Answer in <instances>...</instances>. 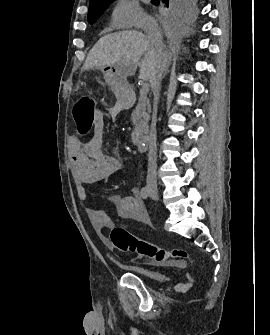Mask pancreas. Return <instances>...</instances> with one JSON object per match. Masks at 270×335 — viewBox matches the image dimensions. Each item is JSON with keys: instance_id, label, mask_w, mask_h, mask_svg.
Returning <instances> with one entry per match:
<instances>
[{"instance_id": "1", "label": "pancreas", "mask_w": 270, "mask_h": 335, "mask_svg": "<svg viewBox=\"0 0 270 335\" xmlns=\"http://www.w3.org/2000/svg\"><path fill=\"white\" fill-rule=\"evenodd\" d=\"M131 120L134 126V130L131 136L133 142H135V140H138L139 136H142V134H147L150 116L149 114H147V112H145V110H140V108H136L131 116Z\"/></svg>"}]
</instances>
